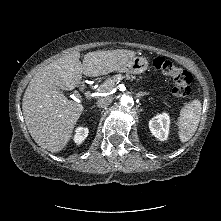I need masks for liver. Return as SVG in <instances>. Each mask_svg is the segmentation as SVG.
<instances>
[{"label":"liver","instance_id":"obj_1","mask_svg":"<svg viewBox=\"0 0 221 221\" xmlns=\"http://www.w3.org/2000/svg\"><path fill=\"white\" fill-rule=\"evenodd\" d=\"M136 55L118 49L89 52L83 64L79 52H71L42 68L30 81L22 101L23 116L34 141L51 153L70 141L84 107L61 92L76 88L82 74L97 77L118 71Z\"/></svg>","mask_w":221,"mask_h":221}]
</instances>
